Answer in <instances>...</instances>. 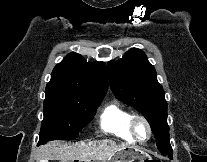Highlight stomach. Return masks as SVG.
<instances>
[{
    "mask_svg": "<svg viewBox=\"0 0 207 162\" xmlns=\"http://www.w3.org/2000/svg\"><path fill=\"white\" fill-rule=\"evenodd\" d=\"M135 160H152V159H150V157L147 156L142 151L127 146L117 151L112 156L111 162H134Z\"/></svg>",
    "mask_w": 207,
    "mask_h": 162,
    "instance_id": "1",
    "label": "stomach"
}]
</instances>
